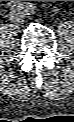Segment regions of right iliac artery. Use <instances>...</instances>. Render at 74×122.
<instances>
[{
    "instance_id": "right-iliac-artery-1",
    "label": "right iliac artery",
    "mask_w": 74,
    "mask_h": 122,
    "mask_svg": "<svg viewBox=\"0 0 74 122\" xmlns=\"http://www.w3.org/2000/svg\"><path fill=\"white\" fill-rule=\"evenodd\" d=\"M28 4H24L20 1H11L7 4V7L10 9V10H26V7H27Z\"/></svg>"
}]
</instances>
